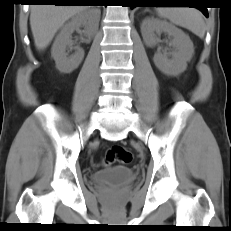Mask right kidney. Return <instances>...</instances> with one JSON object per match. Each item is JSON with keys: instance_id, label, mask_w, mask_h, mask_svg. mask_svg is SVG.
I'll return each mask as SVG.
<instances>
[{"instance_id": "ca27d5eb", "label": "right kidney", "mask_w": 231, "mask_h": 231, "mask_svg": "<svg viewBox=\"0 0 231 231\" xmlns=\"http://www.w3.org/2000/svg\"><path fill=\"white\" fill-rule=\"evenodd\" d=\"M100 11L89 9L75 16L70 22L64 25L55 38L51 54L57 68L63 73H71L75 70L84 58L83 49L77 47L73 55L68 56L67 48L73 43L71 35L75 30L84 27V35L91 38L98 30Z\"/></svg>"}]
</instances>
